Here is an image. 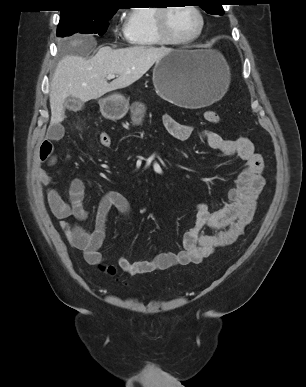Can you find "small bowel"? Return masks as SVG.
Returning a JSON list of instances; mask_svg holds the SVG:
<instances>
[{
  "instance_id": "small-bowel-1",
  "label": "small bowel",
  "mask_w": 306,
  "mask_h": 387,
  "mask_svg": "<svg viewBox=\"0 0 306 387\" xmlns=\"http://www.w3.org/2000/svg\"><path fill=\"white\" fill-rule=\"evenodd\" d=\"M163 124L175 139L187 141L197 134L206 145L222 155L238 156L245 162V168L238 175L235 187L228 192L229 203L213 212L205 203L197 206L194 226L184 234L181 250L159 253L133 262L121 256L118 259V266L130 275L163 271L176 265L199 264L211 256L217 248L235 242L252 221L258 196L265 184L262 175L263 158L255 151L250 139L240 137L228 140L211 130L196 131L193 126L182 124L168 114L163 116ZM62 135L61 124L51 125L47 138L39 147L36 175L38 181L44 186L51 184L52 177L43 165L51 166L56 162L54 142ZM84 196L85 184L79 178H74L70 182L68 200H65L54 188H49L47 191L51 212L60 220V229L65 233L68 242L83 252L88 263L99 264L104 260L100 249L105 239L106 224L111 210L115 209L122 215L128 216L130 204L119 192L105 193L98 205L95 228L89 231L78 223L68 221L71 217L77 221H84L87 218L88 212L83 206ZM206 228L212 232H205Z\"/></svg>"
}]
</instances>
